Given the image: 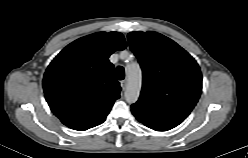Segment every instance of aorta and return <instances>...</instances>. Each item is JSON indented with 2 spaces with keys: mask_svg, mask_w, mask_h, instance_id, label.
<instances>
[{
  "mask_svg": "<svg viewBox=\"0 0 248 158\" xmlns=\"http://www.w3.org/2000/svg\"><path fill=\"white\" fill-rule=\"evenodd\" d=\"M127 86L125 90V100L132 104L135 103L140 95L142 86V71L138 63H131L125 69Z\"/></svg>",
  "mask_w": 248,
  "mask_h": 158,
  "instance_id": "1",
  "label": "aorta"
}]
</instances>
